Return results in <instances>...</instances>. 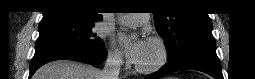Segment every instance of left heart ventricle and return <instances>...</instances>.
I'll return each instance as SVG.
<instances>
[{
    "mask_svg": "<svg viewBox=\"0 0 255 79\" xmlns=\"http://www.w3.org/2000/svg\"><path fill=\"white\" fill-rule=\"evenodd\" d=\"M129 29L135 30L139 27L138 24H132L128 26ZM159 58V49L155 44L152 43H147L146 50L137 63V65L142 66V67H149L154 65Z\"/></svg>",
    "mask_w": 255,
    "mask_h": 79,
    "instance_id": "left-heart-ventricle-1",
    "label": "left heart ventricle"
}]
</instances>
